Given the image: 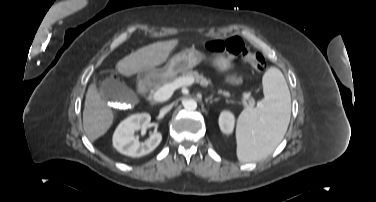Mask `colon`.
I'll use <instances>...</instances> for the list:
<instances>
[{
    "instance_id": "5ec220e1",
    "label": "colon",
    "mask_w": 376,
    "mask_h": 202,
    "mask_svg": "<svg viewBox=\"0 0 376 202\" xmlns=\"http://www.w3.org/2000/svg\"><path fill=\"white\" fill-rule=\"evenodd\" d=\"M203 48L208 54H225L231 58H239L259 73L265 72L268 67L264 56L252 52L238 37H232L225 41H209L204 43Z\"/></svg>"
}]
</instances>
